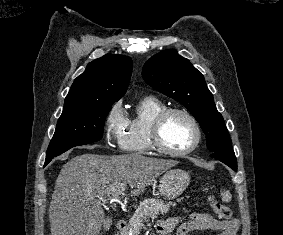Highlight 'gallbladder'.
Here are the masks:
<instances>
[{
	"label": "gallbladder",
	"mask_w": 283,
	"mask_h": 235,
	"mask_svg": "<svg viewBox=\"0 0 283 235\" xmlns=\"http://www.w3.org/2000/svg\"><path fill=\"white\" fill-rule=\"evenodd\" d=\"M111 223H112V220H111L109 217H107V218H106V222H105L104 229H105V230L109 229V225H111Z\"/></svg>",
	"instance_id": "bac80fb5"
}]
</instances>
